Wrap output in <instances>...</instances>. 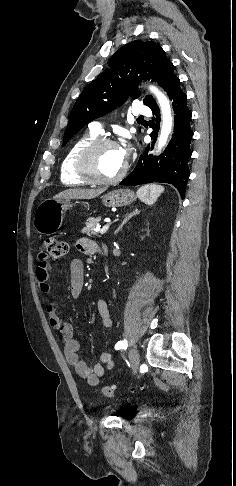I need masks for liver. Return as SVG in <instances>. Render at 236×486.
Listing matches in <instances>:
<instances>
[{"instance_id": "6515ba94", "label": "liver", "mask_w": 236, "mask_h": 486, "mask_svg": "<svg viewBox=\"0 0 236 486\" xmlns=\"http://www.w3.org/2000/svg\"><path fill=\"white\" fill-rule=\"evenodd\" d=\"M104 192V189H67L54 196L55 199H92Z\"/></svg>"}]
</instances>
